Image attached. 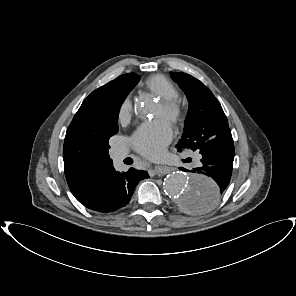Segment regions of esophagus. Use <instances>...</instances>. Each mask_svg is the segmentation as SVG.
Instances as JSON below:
<instances>
[{
    "instance_id": "34e87169",
    "label": "esophagus",
    "mask_w": 296,
    "mask_h": 296,
    "mask_svg": "<svg viewBox=\"0 0 296 296\" xmlns=\"http://www.w3.org/2000/svg\"><path fill=\"white\" fill-rule=\"evenodd\" d=\"M170 171H172V169L169 168V167H166V166H155V167L152 169L151 173H152L153 175L163 176V175L169 173Z\"/></svg>"
}]
</instances>
